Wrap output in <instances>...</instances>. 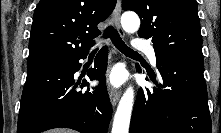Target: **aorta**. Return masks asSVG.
Here are the masks:
<instances>
[{
    "label": "aorta",
    "instance_id": "762f6f07",
    "mask_svg": "<svg viewBox=\"0 0 221 133\" xmlns=\"http://www.w3.org/2000/svg\"><path fill=\"white\" fill-rule=\"evenodd\" d=\"M121 25L128 33L138 31L140 19L136 13L126 12L121 17ZM134 102V90L129 86L118 104L111 133H128Z\"/></svg>",
    "mask_w": 221,
    "mask_h": 133
}]
</instances>
